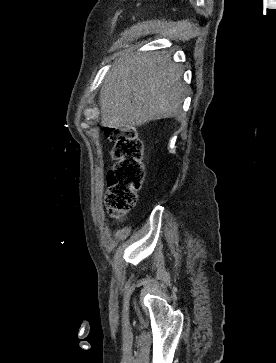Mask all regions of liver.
Instances as JSON below:
<instances>
[{
    "label": "liver",
    "mask_w": 276,
    "mask_h": 363,
    "mask_svg": "<svg viewBox=\"0 0 276 363\" xmlns=\"http://www.w3.org/2000/svg\"><path fill=\"white\" fill-rule=\"evenodd\" d=\"M182 70L164 53L121 57L100 91L101 124L122 128L181 117Z\"/></svg>",
    "instance_id": "liver-1"
}]
</instances>
